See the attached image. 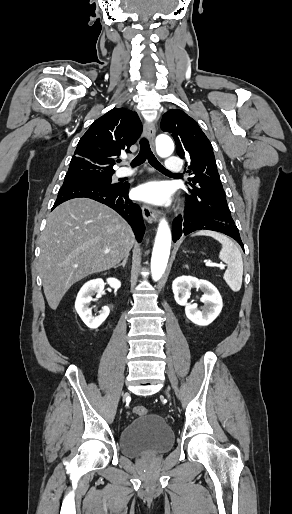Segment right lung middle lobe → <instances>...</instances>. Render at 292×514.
<instances>
[{
    "mask_svg": "<svg viewBox=\"0 0 292 514\" xmlns=\"http://www.w3.org/2000/svg\"><path fill=\"white\" fill-rule=\"evenodd\" d=\"M114 172H68L64 182L67 181H87L104 185H117L112 183Z\"/></svg>",
    "mask_w": 292,
    "mask_h": 514,
    "instance_id": "right-lung-middle-lobe-1",
    "label": "right lung middle lobe"
}]
</instances>
